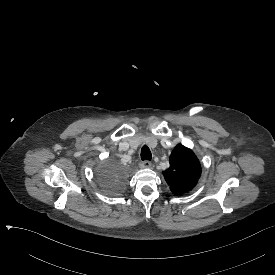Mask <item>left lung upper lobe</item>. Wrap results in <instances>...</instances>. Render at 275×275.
<instances>
[{
  "mask_svg": "<svg viewBox=\"0 0 275 275\" xmlns=\"http://www.w3.org/2000/svg\"><path fill=\"white\" fill-rule=\"evenodd\" d=\"M169 160L170 167L163 172V175L172 193L182 195L192 190L201 174L199 160L192 150L178 144Z\"/></svg>",
  "mask_w": 275,
  "mask_h": 275,
  "instance_id": "1",
  "label": "left lung upper lobe"
}]
</instances>
